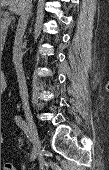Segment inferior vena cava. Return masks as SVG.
I'll return each mask as SVG.
<instances>
[{
	"instance_id": "obj_1",
	"label": "inferior vena cava",
	"mask_w": 109,
	"mask_h": 170,
	"mask_svg": "<svg viewBox=\"0 0 109 170\" xmlns=\"http://www.w3.org/2000/svg\"><path fill=\"white\" fill-rule=\"evenodd\" d=\"M31 7L32 0H23L22 8L19 13L20 18L17 25V31L13 47V63L17 73L19 93L22 99V103L25 107H28V91L22 65V37L27 26Z\"/></svg>"
}]
</instances>
